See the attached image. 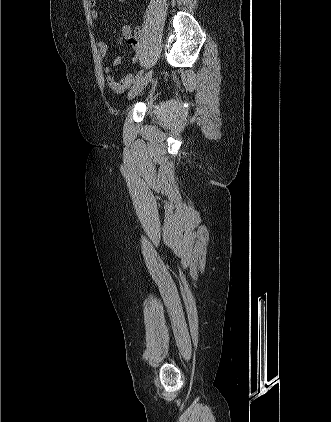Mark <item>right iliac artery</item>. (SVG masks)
Listing matches in <instances>:
<instances>
[{"mask_svg": "<svg viewBox=\"0 0 331 422\" xmlns=\"http://www.w3.org/2000/svg\"><path fill=\"white\" fill-rule=\"evenodd\" d=\"M143 70H141L136 76H135V79H134V81H133V83L134 84H136L140 79H141V77H142V75H143Z\"/></svg>", "mask_w": 331, "mask_h": 422, "instance_id": "82829eb1", "label": "right iliac artery"}]
</instances>
